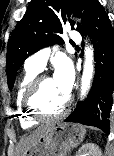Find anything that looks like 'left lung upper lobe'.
<instances>
[{
    "mask_svg": "<svg viewBox=\"0 0 114 156\" xmlns=\"http://www.w3.org/2000/svg\"><path fill=\"white\" fill-rule=\"evenodd\" d=\"M98 0H31L24 17L19 21L8 42L6 73L9 89L13 88L17 71L25 59L54 43L63 44L56 35L63 33V23L58 18L61 12L65 23V13L82 18L84 26L78 25L82 32L88 22L91 9ZM74 26V22L70 20Z\"/></svg>",
    "mask_w": 114,
    "mask_h": 156,
    "instance_id": "5c2ea615",
    "label": "left lung upper lobe"
}]
</instances>
